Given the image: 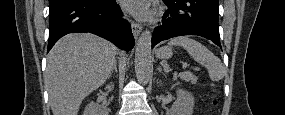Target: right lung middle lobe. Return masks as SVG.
<instances>
[{
  "mask_svg": "<svg viewBox=\"0 0 285 115\" xmlns=\"http://www.w3.org/2000/svg\"><path fill=\"white\" fill-rule=\"evenodd\" d=\"M59 0H49V5H52L56 2H58ZM91 1H94V2H101L102 0H91Z\"/></svg>",
  "mask_w": 285,
  "mask_h": 115,
  "instance_id": "dd1d6c3e",
  "label": "right lung middle lobe"
}]
</instances>
